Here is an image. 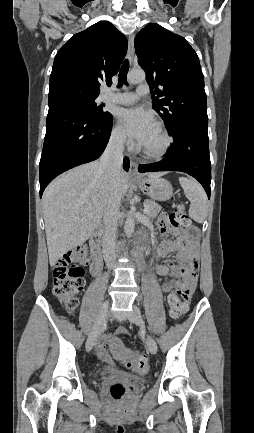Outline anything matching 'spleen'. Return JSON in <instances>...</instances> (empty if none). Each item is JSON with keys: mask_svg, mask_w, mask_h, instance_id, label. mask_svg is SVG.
<instances>
[{"mask_svg": "<svg viewBox=\"0 0 254 433\" xmlns=\"http://www.w3.org/2000/svg\"><path fill=\"white\" fill-rule=\"evenodd\" d=\"M179 182L185 196L190 201L189 216L198 223H203L207 216V196L201 185L193 179L180 177Z\"/></svg>", "mask_w": 254, "mask_h": 433, "instance_id": "1", "label": "spleen"}]
</instances>
